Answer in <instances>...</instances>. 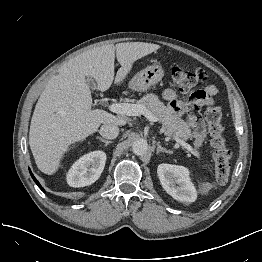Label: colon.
Returning a JSON list of instances; mask_svg holds the SVG:
<instances>
[{"mask_svg":"<svg viewBox=\"0 0 262 262\" xmlns=\"http://www.w3.org/2000/svg\"><path fill=\"white\" fill-rule=\"evenodd\" d=\"M171 74L174 86L181 92H189L205 78V72L202 70L190 71L182 67H174ZM189 111L196 113L194 104L189 105ZM204 119L214 148L215 178L218 183L223 184L229 177L232 152L226 145L220 105L208 106L204 111Z\"/></svg>","mask_w":262,"mask_h":262,"instance_id":"colon-1","label":"colon"}]
</instances>
